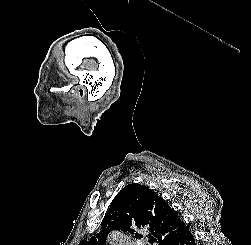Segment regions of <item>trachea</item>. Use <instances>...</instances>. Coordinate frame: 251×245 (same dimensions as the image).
<instances>
[{
  "mask_svg": "<svg viewBox=\"0 0 251 245\" xmlns=\"http://www.w3.org/2000/svg\"><path fill=\"white\" fill-rule=\"evenodd\" d=\"M154 241H155V239H154V238H152V237H150L149 242H150V243H153Z\"/></svg>",
  "mask_w": 251,
  "mask_h": 245,
  "instance_id": "1",
  "label": "trachea"
}]
</instances>
